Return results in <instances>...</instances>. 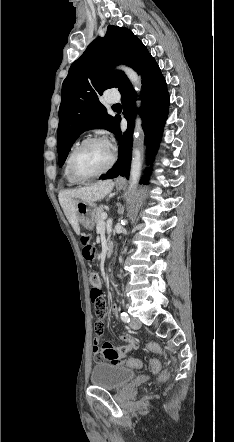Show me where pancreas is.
Here are the masks:
<instances>
[{"mask_svg":"<svg viewBox=\"0 0 234 442\" xmlns=\"http://www.w3.org/2000/svg\"><path fill=\"white\" fill-rule=\"evenodd\" d=\"M107 206L106 205H100L95 212V222L99 223L101 221V216L105 212Z\"/></svg>","mask_w":234,"mask_h":442,"instance_id":"cf45deb5","label":"pancreas"}]
</instances>
